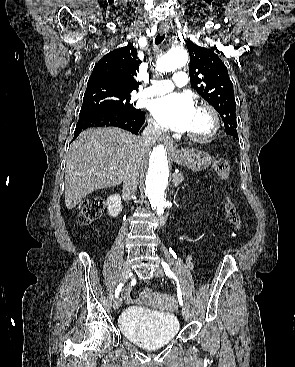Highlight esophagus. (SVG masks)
<instances>
[{
	"label": "esophagus",
	"instance_id": "obj_1",
	"mask_svg": "<svg viewBox=\"0 0 295 367\" xmlns=\"http://www.w3.org/2000/svg\"><path fill=\"white\" fill-rule=\"evenodd\" d=\"M169 30V26L168 25H162L159 29V33L160 34H165L167 33ZM160 140L162 141V143L168 148V150L170 151H174L175 148L173 146V140L171 139L170 136L168 135H162Z\"/></svg>",
	"mask_w": 295,
	"mask_h": 367
}]
</instances>
